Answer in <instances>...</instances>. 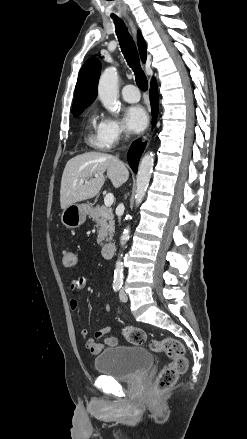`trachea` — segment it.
<instances>
[{
	"label": "trachea",
	"mask_w": 247,
	"mask_h": 439,
	"mask_svg": "<svg viewBox=\"0 0 247 439\" xmlns=\"http://www.w3.org/2000/svg\"><path fill=\"white\" fill-rule=\"evenodd\" d=\"M116 34L118 36L119 44L122 53L128 62V65L134 70L137 86L142 90L146 91L148 89V81L143 70L140 68V61L135 43L128 33L126 26L123 21L117 17H113Z\"/></svg>",
	"instance_id": "3493384b"
}]
</instances>
